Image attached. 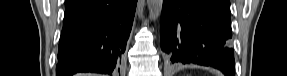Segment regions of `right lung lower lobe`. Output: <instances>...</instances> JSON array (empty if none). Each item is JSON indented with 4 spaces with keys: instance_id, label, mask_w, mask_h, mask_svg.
I'll list each match as a JSON object with an SVG mask.
<instances>
[{
    "instance_id": "98d812e1",
    "label": "right lung lower lobe",
    "mask_w": 287,
    "mask_h": 76,
    "mask_svg": "<svg viewBox=\"0 0 287 76\" xmlns=\"http://www.w3.org/2000/svg\"><path fill=\"white\" fill-rule=\"evenodd\" d=\"M137 0H75L66 6L56 76L117 70Z\"/></svg>"
}]
</instances>
